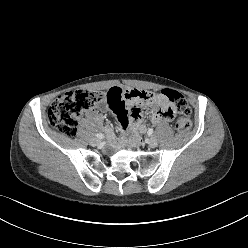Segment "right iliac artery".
<instances>
[{"label":"right iliac artery","instance_id":"1","mask_svg":"<svg viewBox=\"0 0 248 248\" xmlns=\"http://www.w3.org/2000/svg\"><path fill=\"white\" fill-rule=\"evenodd\" d=\"M96 137L99 138V139H102V138H104V135L101 134V133H98V134H96Z\"/></svg>","mask_w":248,"mask_h":248}]
</instances>
